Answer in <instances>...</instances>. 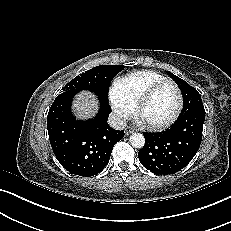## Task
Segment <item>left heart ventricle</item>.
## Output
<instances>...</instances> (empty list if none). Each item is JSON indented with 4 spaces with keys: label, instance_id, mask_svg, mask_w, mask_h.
Segmentation results:
<instances>
[{
    "label": "left heart ventricle",
    "instance_id": "1",
    "mask_svg": "<svg viewBox=\"0 0 231 231\" xmlns=\"http://www.w3.org/2000/svg\"><path fill=\"white\" fill-rule=\"evenodd\" d=\"M176 105V93L172 85L159 87L147 101L141 112V118L147 122L161 123L172 114Z\"/></svg>",
    "mask_w": 231,
    "mask_h": 231
}]
</instances>
